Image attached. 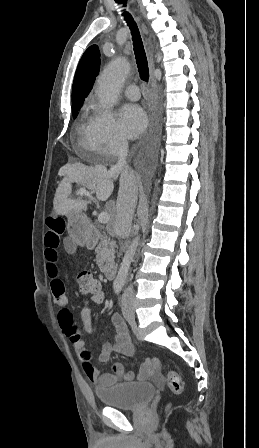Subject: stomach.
Listing matches in <instances>:
<instances>
[{"instance_id":"stomach-1","label":"stomach","mask_w":259,"mask_h":448,"mask_svg":"<svg viewBox=\"0 0 259 448\" xmlns=\"http://www.w3.org/2000/svg\"><path fill=\"white\" fill-rule=\"evenodd\" d=\"M69 220V234L79 246H85L91 240L92 226L86 218L84 212H75L74 208L70 209L67 215Z\"/></svg>"}]
</instances>
